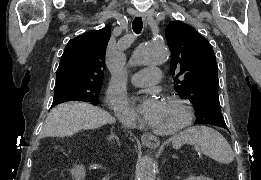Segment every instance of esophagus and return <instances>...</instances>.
<instances>
[{
    "instance_id": "1",
    "label": "esophagus",
    "mask_w": 261,
    "mask_h": 180,
    "mask_svg": "<svg viewBox=\"0 0 261 180\" xmlns=\"http://www.w3.org/2000/svg\"><path fill=\"white\" fill-rule=\"evenodd\" d=\"M136 15L142 17L144 21L146 20L145 13H136ZM141 142L149 148H157L160 144L159 139L151 133H143Z\"/></svg>"
}]
</instances>
